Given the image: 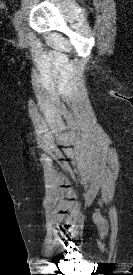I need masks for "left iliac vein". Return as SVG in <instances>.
Masks as SVG:
<instances>
[{"mask_svg":"<svg viewBox=\"0 0 133 275\" xmlns=\"http://www.w3.org/2000/svg\"><path fill=\"white\" fill-rule=\"evenodd\" d=\"M15 28L17 30L18 39L21 43L26 42V29L22 22V19L20 18L15 22Z\"/></svg>","mask_w":133,"mask_h":275,"instance_id":"left-iliac-vein-1","label":"left iliac vein"}]
</instances>
